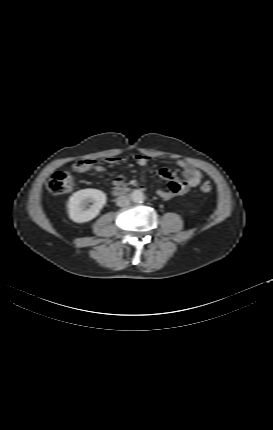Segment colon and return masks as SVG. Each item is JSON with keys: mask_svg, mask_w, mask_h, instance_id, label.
<instances>
[{"mask_svg": "<svg viewBox=\"0 0 273 430\" xmlns=\"http://www.w3.org/2000/svg\"><path fill=\"white\" fill-rule=\"evenodd\" d=\"M74 178L68 172L57 171L52 174L47 182L48 190L54 195H63L73 190ZM212 184L209 181L203 182L200 191L204 194L211 192Z\"/></svg>", "mask_w": 273, "mask_h": 430, "instance_id": "1", "label": "colon"}]
</instances>
